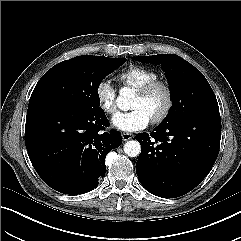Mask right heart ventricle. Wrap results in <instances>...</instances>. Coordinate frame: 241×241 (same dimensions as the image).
<instances>
[{
    "mask_svg": "<svg viewBox=\"0 0 241 241\" xmlns=\"http://www.w3.org/2000/svg\"><path fill=\"white\" fill-rule=\"evenodd\" d=\"M118 79L127 87L137 90L145 84L158 79V74L144 66H129L118 75Z\"/></svg>",
    "mask_w": 241,
    "mask_h": 241,
    "instance_id": "e07e8e85",
    "label": "right heart ventricle"
}]
</instances>
